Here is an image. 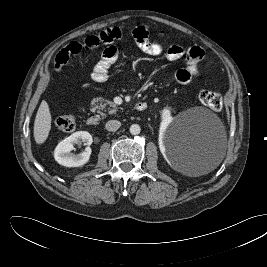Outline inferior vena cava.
<instances>
[{"mask_svg": "<svg viewBox=\"0 0 267 267\" xmlns=\"http://www.w3.org/2000/svg\"><path fill=\"white\" fill-rule=\"evenodd\" d=\"M121 123L118 120H110L106 123L105 127L108 131H116L120 128Z\"/></svg>", "mask_w": 267, "mask_h": 267, "instance_id": "1", "label": "inferior vena cava"}]
</instances>
